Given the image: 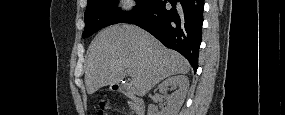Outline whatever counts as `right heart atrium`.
Instances as JSON below:
<instances>
[{"instance_id": "obj_1", "label": "right heart atrium", "mask_w": 285, "mask_h": 115, "mask_svg": "<svg viewBox=\"0 0 285 115\" xmlns=\"http://www.w3.org/2000/svg\"><path fill=\"white\" fill-rule=\"evenodd\" d=\"M123 9L127 13L131 12L133 10V3L129 2V1L125 2L124 6H123Z\"/></svg>"}]
</instances>
